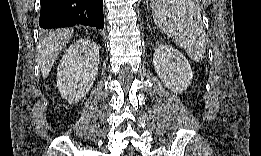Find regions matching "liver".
<instances>
[{
  "mask_svg": "<svg viewBox=\"0 0 261 156\" xmlns=\"http://www.w3.org/2000/svg\"><path fill=\"white\" fill-rule=\"evenodd\" d=\"M73 30H56L49 33L38 47V64L43 78H47L51 68L60 53L72 38Z\"/></svg>",
  "mask_w": 261,
  "mask_h": 156,
  "instance_id": "liver-1",
  "label": "liver"
}]
</instances>
